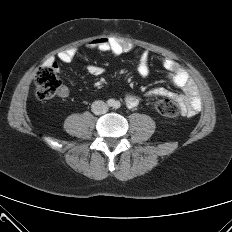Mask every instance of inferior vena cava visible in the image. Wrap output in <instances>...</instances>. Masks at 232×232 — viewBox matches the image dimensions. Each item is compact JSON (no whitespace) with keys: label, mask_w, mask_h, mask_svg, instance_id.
Returning a JSON list of instances; mask_svg holds the SVG:
<instances>
[{"label":"inferior vena cava","mask_w":232,"mask_h":232,"mask_svg":"<svg viewBox=\"0 0 232 232\" xmlns=\"http://www.w3.org/2000/svg\"><path fill=\"white\" fill-rule=\"evenodd\" d=\"M91 110L95 115H101L108 111V106L105 102L97 100L92 103Z\"/></svg>","instance_id":"inferior-vena-cava-1"}]
</instances>
